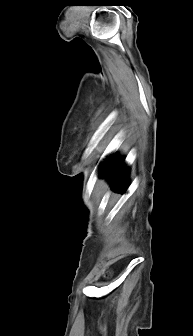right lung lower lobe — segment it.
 I'll return each instance as SVG.
<instances>
[{"instance_id": "1", "label": "right lung lower lobe", "mask_w": 193, "mask_h": 336, "mask_svg": "<svg viewBox=\"0 0 193 336\" xmlns=\"http://www.w3.org/2000/svg\"><path fill=\"white\" fill-rule=\"evenodd\" d=\"M101 172L109 175L112 180L114 191H125L128 169L123 165V160H116L114 156L109 157L101 166Z\"/></svg>"}]
</instances>
